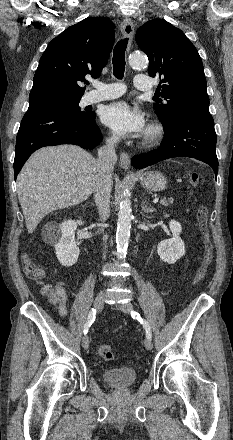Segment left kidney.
<instances>
[{
    "label": "left kidney",
    "mask_w": 233,
    "mask_h": 440,
    "mask_svg": "<svg viewBox=\"0 0 233 440\" xmlns=\"http://www.w3.org/2000/svg\"><path fill=\"white\" fill-rule=\"evenodd\" d=\"M169 227L173 237L161 241L158 244L157 253L163 262L174 264L185 254V245L180 238L182 232L181 224L175 220H171L169 222Z\"/></svg>",
    "instance_id": "5707ae66"
}]
</instances>
